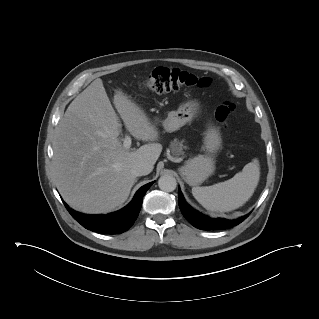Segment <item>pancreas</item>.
Segmentation results:
<instances>
[{
	"label": "pancreas",
	"instance_id": "cf45deb5",
	"mask_svg": "<svg viewBox=\"0 0 319 319\" xmlns=\"http://www.w3.org/2000/svg\"><path fill=\"white\" fill-rule=\"evenodd\" d=\"M170 149H171L172 155L175 156L176 158H179V157L184 158L185 157L184 149H187V146L183 145V141L174 139L170 143Z\"/></svg>",
	"mask_w": 319,
	"mask_h": 319
}]
</instances>
